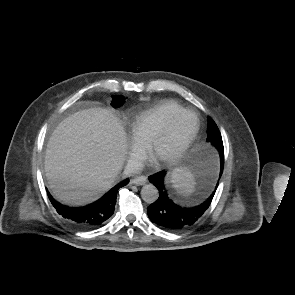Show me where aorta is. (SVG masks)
Wrapping results in <instances>:
<instances>
[{
  "instance_id": "aorta-1",
  "label": "aorta",
  "mask_w": 295,
  "mask_h": 295,
  "mask_svg": "<svg viewBox=\"0 0 295 295\" xmlns=\"http://www.w3.org/2000/svg\"><path fill=\"white\" fill-rule=\"evenodd\" d=\"M141 197L147 203H154L159 197V191L153 184H146L141 189Z\"/></svg>"
}]
</instances>
